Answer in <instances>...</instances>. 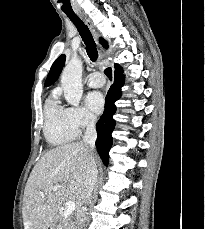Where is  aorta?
Wrapping results in <instances>:
<instances>
[{
    "label": "aorta",
    "instance_id": "aorta-1",
    "mask_svg": "<svg viewBox=\"0 0 205 229\" xmlns=\"http://www.w3.org/2000/svg\"><path fill=\"white\" fill-rule=\"evenodd\" d=\"M82 62L78 58H72L63 69L61 85L64 97L68 104L78 106L83 94L82 86Z\"/></svg>",
    "mask_w": 205,
    "mask_h": 229
}]
</instances>
